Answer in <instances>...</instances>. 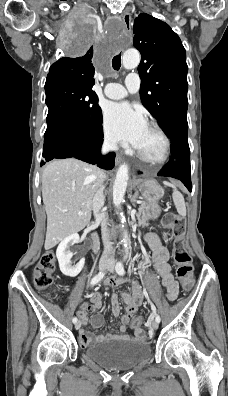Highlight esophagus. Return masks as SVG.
<instances>
[{
    "mask_svg": "<svg viewBox=\"0 0 228 396\" xmlns=\"http://www.w3.org/2000/svg\"><path fill=\"white\" fill-rule=\"evenodd\" d=\"M123 22H124V24L126 25V26H129L130 27V25H131V15H130V13L129 12H125L124 13V15H123ZM122 157L120 156V155H116V164L117 165H120L121 164V162H122Z\"/></svg>",
    "mask_w": 228,
    "mask_h": 396,
    "instance_id": "1",
    "label": "esophagus"
}]
</instances>
